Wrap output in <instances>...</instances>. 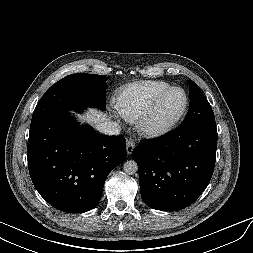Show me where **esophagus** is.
<instances>
[{
  "label": "esophagus",
  "mask_w": 253,
  "mask_h": 253,
  "mask_svg": "<svg viewBox=\"0 0 253 253\" xmlns=\"http://www.w3.org/2000/svg\"><path fill=\"white\" fill-rule=\"evenodd\" d=\"M135 147V142L133 139H128L127 140V143H126V152H127V155L130 156L133 152V149Z\"/></svg>",
  "instance_id": "esophagus-1"
}]
</instances>
